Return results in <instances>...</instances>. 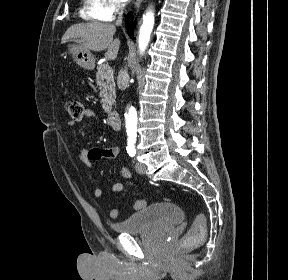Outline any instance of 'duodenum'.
Instances as JSON below:
<instances>
[{"instance_id": "1", "label": "duodenum", "mask_w": 288, "mask_h": 280, "mask_svg": "<svg viewBox=\"0 0 288 280\" xmlns=\"http://www.w3.org/2000/svg\"><path fill=\"white\" fill-rule=\"evenodd\" d=\"M108 123L114 130H119L121 128L120 115L116 111H112L108 115Z\"/></svg>"}]
</instances>
